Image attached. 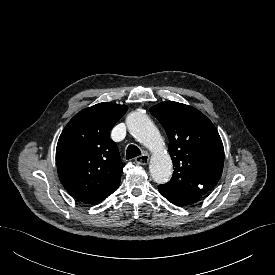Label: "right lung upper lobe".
<instances>
[{
  "label": "right lung upper lobe",
  "mask_w": 275,
  "mask_h": 275,
  "mask_svg": "<svg viewBox=\"0 0 275 275\" xmlns=\"http://www.w3.org/2000/svg\"><path fill=\"white\" fill-rule=\"evenodd\" d=\"M127 106L99 103L77 113L62 131L56 148L58 175L77 200L96 203L120 184L123 167L110 130Z\"/></svg>",
  "instance_id": "right-lung-upper-lobe-1"
}]
</instances>
